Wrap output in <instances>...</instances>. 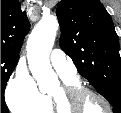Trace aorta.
Instances as JSON below:
<instances>
[{
	"instance_id": "aorta-1",
	"label": "aorta",
	"mask_w": 121,
	"mask_h": 113,
	"mask_svg": "<svg viewBox=\"0 0 121 113\" xmlns=\"http://www.w3.org/2000/svg\"><path fill=\"white\" fill-rule=\"evenodd\" d=\"M58 26L55 16L44 15L32 30L27 41L29 68L42 92H48L58 83L49 60Z\"/></svg>"
}]
</instances>
